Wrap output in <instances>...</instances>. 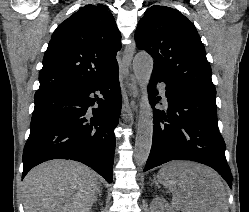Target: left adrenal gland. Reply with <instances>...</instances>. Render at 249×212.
<instances>
[{"label":"left adrenal gland","instance_id":"a2214340","mask_svg":"<svg viewBox=\"0 0 249 212\" xmlns=\"http://www.w3.org/2000/svg\"><path fill=\"white\" fill-rule=\"evenodd\" d=\"M155 184H156V186H157V188H158V186H159L158 182H155Z\"/></svg>","mask_w":249,"mask_h":212}]
</instances>
